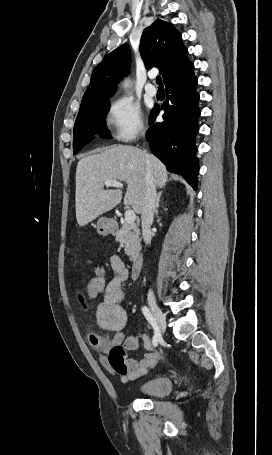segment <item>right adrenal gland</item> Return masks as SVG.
I'll return each instance as SVG.
<instances>
[{"label": "right adrenal gland", "instance_id": "2a0ac1e0", "mask_svg": "<svg viewBox=\"0 0 272 455\" xmlns=\"http://www.w3.org/2000/svg\"><path fill=\"white\" fill-rule=\"evenodd\" d=\"M162 196V191L158 193L157 200H156V207H155V214L158 215V207L160 205V198Z\"/></svg>", "mask_w": 272, "mask_h": 455}]
</instances>
